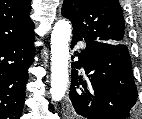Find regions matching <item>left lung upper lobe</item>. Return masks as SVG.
Wrapping results in <instances>:
<instances>
[{"mask_svg": "<svg viewBox=\"0 0 142 119\" xmlns=\"http://www.w3.org/2000/svg\"><path fill=\"white\" fill-rule=\"evenodd\" d=\"M63 17L69 19L73 34L86 42L124 44V19L118 0H64Z\"/></svg>", "mask_w": 142, "mask_h": 119, "instance_id": "1", "label": "left lung upper lobe"}]
</instances>
